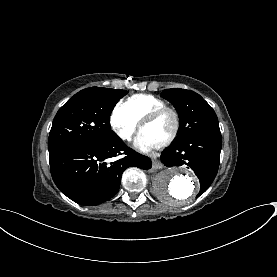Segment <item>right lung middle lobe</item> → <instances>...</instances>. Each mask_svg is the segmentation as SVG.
Masks as SVG:
<instances>
[{"label":"right lung middle lobe","instance_id":"dd1d6c3e","mask_svg":"<svg viewBox=\"0 0 277 277\" xmlns=\"http://www.w3.org/2000/svg\"><path fill=\"white\" fill-rule=\"evenodd\" d=\"M126 90L91 87L75 94L57 112L49 134V152L64 146L99 143L116 137L110 115Z\"/></svg>","mask_w":277,"mask_h":277}]
</instances>
